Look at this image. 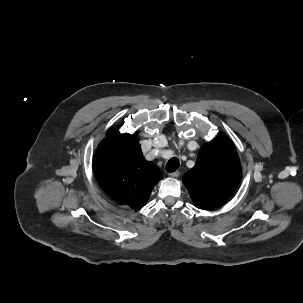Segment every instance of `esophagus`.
<instances>
[{
	"label": "esophagus",
	"mask_w": 303,
	"mask_h": 303,
	"mask_svg": "<svg viewBox=\"0 0 303 303\" xmlns=\"http://www.w3.org/2000/svg\"><path fill=\"white\" fill-rule=\"evenodd\" d=\"M180 175L179 171H175L169 174V176L173 177V178H177Z\"/></svg>",
	"instance_id": "34e87169"
}]
</instances>
